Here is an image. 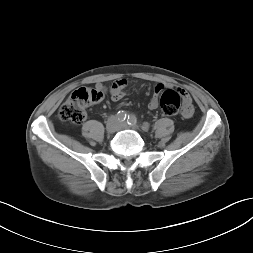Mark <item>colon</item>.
Listing matches in <instances>:
<instances>
[{"label":"colon","instance_id":"colon-1","mask_svg":"<svg viewBox=\"0 0 253 253\" xmlns=\"http://www.w3.org/2000/svg\"><path fill=\"white\" fill-rule=\"evenodd\" d=\"M104 97L97 88L81 87L75 90L63 103L59 117L74 124L82 123L86 118V109ZM160 106L164 115L174 116L181 111V95L174 89H167L160 96Z\"/></svg>","mask_w":253,"mask_h":253}]
</instances>
